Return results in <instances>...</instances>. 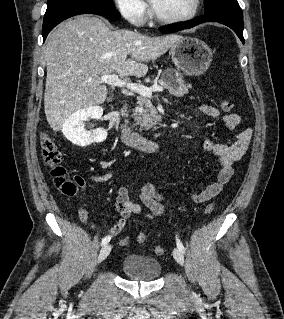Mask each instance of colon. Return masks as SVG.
Instances as JSON below:
<instances>
[{
  "mask_svg": "<svg viewBox=\"0 0 284 319\" xmlns=\"http://www.w3.org/2000/svg\"><path fill=\"white\" fill-rule=\"evenodd\" d=\"M220 106L223 111L230 112L233 109L234 105L229 100H223L221 101ZM40 149L43 162L50 168V172L56 188L65 195L75 194L77 188L82 185L81 179L79 177H67L66 170L61 165V152L57 148L51 136L45 133L40 135ZM214 208L215 204L213 202L209 203L205 208V213L210 214L214 210ZM137 241L139 243H144L146 241V235L140 233L137 236ZM119 244L121 246H127L129 244V238L125 237L121 239ZM154 252L156 255H162L164 253V249L161 246H156L154 248Z\"/></svg>",
  "mask_w": 284,
  "mask_h": 319,
  "instance_id": "1",
  "label": "colon"
}]
</instances>
